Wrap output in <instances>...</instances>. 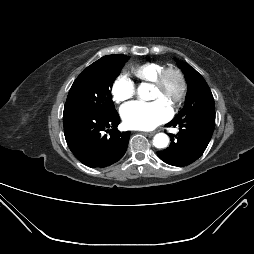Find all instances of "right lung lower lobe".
<instances>
[{
	"instance_id": "98d812e1",
	"label": "right lung lower lobe",
	"mask_w": 254,
	"mask_h": 254,
	"mask_svg": "<svg viewBox=\"0 0 254 254\" xmlns=\"http://www.w3.org/2000/svg\"><path fill=\"white\" fill-rule=\"evenodd\" d=\"M117 112L96 113L72 105L64 106L66 142L74 156L89 167H106L125 154L129 132H120ZM103 131L109 133L104 134Z\"/></svg>"
}]
</instances>
